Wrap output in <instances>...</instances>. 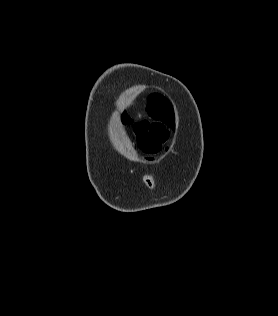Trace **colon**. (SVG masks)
Listing matches in <instances>:
<instances>
[{"label": "colon", "mask_w": 278, "mask_h": 316, "mask_svg": "<svg viewBox=\"0 0 278 316\" xmlns=\"http://www.w3.org/2000/svg\"><path fill=\"white\" fill-rule=\"evenodd\" d=\"M129 126L135 134L138 147L145 153L160 152L169 137L168 130L161 123L141 121L129 123Z\"/></svg>", "instance_id": "5ec220e1"}]
</instances>
